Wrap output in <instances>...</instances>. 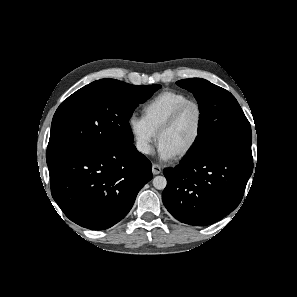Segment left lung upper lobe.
I'll return each mask as SVG.
<instances>
[{
	"instance_id": "left-lung-upper-lobe-1",
	"label": "left lung upper lobe",
	"mask_w": 297,
	"mask_h": 297,
	"mask_svg": "<svg viewBox=\"0 0 297 297\" xmlns=\"http://www.w3.org/2000/svg\"><path fill=\"white\" fill-rule=\"evenodd\" d=\"M198 102L199 136L184 159L220 152L253 161L251 127L235 97L201 78L177 81Z\"/></svg>"
}]
</instances>
